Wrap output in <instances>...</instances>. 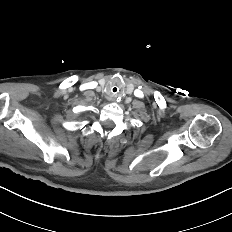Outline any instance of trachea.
<instances>
[{"label": "trachea", "mask_w": 232, "mask_h": 232, "mask_svg": "<svg viewBox=\"0 0 232 232\" xmlns=\"http://www.w3.org/2000/svg\"><path fill=\"white\" fill-rule=\"evenodd\" d=\"M110 92H111V94L116 95L120 92V87L119 86H112L110 88Z\"/></svg>", "instance_id": "obj_1"}]
</instances>
